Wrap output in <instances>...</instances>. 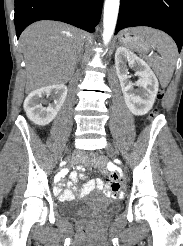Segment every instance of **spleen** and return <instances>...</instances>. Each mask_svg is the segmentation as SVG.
Returning a JSON list of instances; mask_svg holds the SVG:
<instances>
[{"label":"spleen","instance_id":"spleen-1","mask_svg":"<svg viewBox=\"0 0 183 246\" xmlns=\"http://www.w3.org/2000/svg\"><path fill=\"white\" fill-rule=\"evenodd\" d=\"M143 35L150 45L157 48V51L163 58L159 72V80L163 86H167L175 69L177 47L174 41L162 31L146 28Z\"/></svg>","mask_w":183,"mask_h":246}]
</instances>
